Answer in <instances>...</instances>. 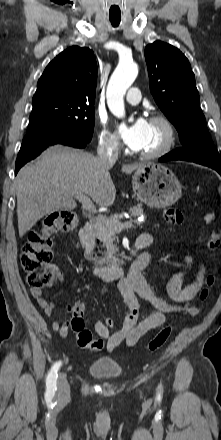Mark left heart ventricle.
Instances as JSON below:
<instances>
[{
    "label": "left heart ventricle",
    "mask_w": 221,
    "mask_h": 440,
    "mask_svg": "<svg viewBox=\"0 0 221 440\" xmlns=\"http://www.w3.org/2000/svg\"><path fill=\"white\" fill-rule=\"evenodd\" d=\"M165 139V131L161 125L156 123H149V132L146 143L141 151L155 150L162 145Z\"/></svg>",
    "instance_id": "b2bd125f"
}]
</instances>
